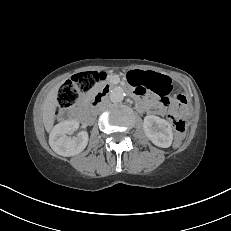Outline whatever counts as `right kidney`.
Returning <instances> with one entry per match:
<instances>
[{"mask_svg":"<svg viewBox=\"0 0 231 231\" xmlns=\"http://www.w3.org/2000/svg\"><path fill=\"white\" fill-rule=\"evenodd\" d=\"M79 123L76 121H64L55 125L49 136L51 148L61 156H74L81 153L88 144V133L81 131L76 137H68L67 134L77 130Z\"/></svg>","mask_w":231,"mask_h":231,"instance_id":"right-kidney-1","label":"right kidney"}]
</instances>
